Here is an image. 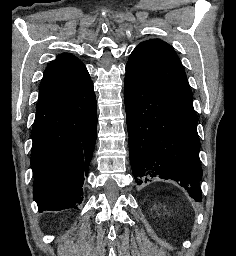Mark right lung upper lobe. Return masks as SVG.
<instances>
[{
  "label": "right lung upper lobe",
  "instance_id": "cb5924a9",
  "mask_svg": "<svg viewBox=\"0 0 236 256\" xmlns=\"http://www.w3.org/2000/svg\"><path fill=\"white\" fill-rule=\"evenodd\" d=\"M90 81L87 69L77 57L70 53L58 55L44 71L36 115L54 106Z\"/></svg>",
  "mask_w": 236,
  "mask_h": 256
}]
</instances>
